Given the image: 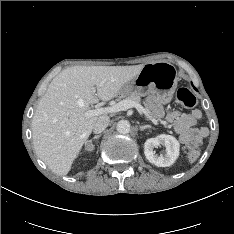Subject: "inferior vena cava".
I'll return each instance as SVG.
<instances>
[{"mask_svg": "<svg viewBox=\"0 0 234 234\" xmlns=\"http://www.w3.org/2000/svg\"><path fill=\"white\" fill-rule=\"evenodd\" d=\"M109 122L110 119L108 116H100L93 125V132L96 134L103 132L107 128Z\"/></svg>", "mask_w": 234, "mask_h": 234, "instance_id": "602c4592", "label": "inferior vena cava"}]
</instances>
